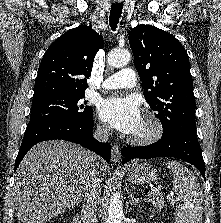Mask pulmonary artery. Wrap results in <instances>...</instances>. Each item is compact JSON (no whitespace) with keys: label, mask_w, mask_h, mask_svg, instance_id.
<instances>
[{"label":"pulmonary artery","mask_w":221,"mask_h":223,"mask_svg":"<svg viewBox=\"0 0 221 223\" xmlns=\"http://www.w3.org/2000/svg\"><path fill=\"white\" fill-rule=\"evenodd\" d=\"M136 73L131 68L122 69L104 79L102 86L106 90L130 88L136 85Z\"/></svg>","instance_id":"obj_1"}]
</instances>
